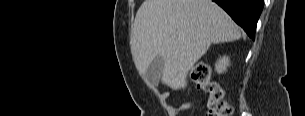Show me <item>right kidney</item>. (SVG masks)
Masks as SVG:
<instances>
[{
    "label": "right kidney",
    "mask_w": 305,
    "mask_h": 116,
    "mask_svg": "<svg viewBox=\"0 0 305 116\" xmlns=\"http://www.w3.org/2000/svg\"><path fill=\"white\" fill-rule=\"evenodd\" d=\"M230 65L229 63V57L223 56L222 58L216 62L215 64V70L220 74L227 70V67Z\"/></svg>",
    "instance_id": "right-kidney-1"
}]
</instances>
